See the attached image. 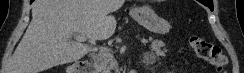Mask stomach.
Listing matches in <instances>:
<instances>
[{
  "mask_svg": "<svg viewBox=\"0 0 244 73\" xmlns=\"http://www.w3.org/2000/svg\"><path fill=\"white\" fill-rule=\"evenodd\" d=\"M131 17L148 31L155 34H166L170 31L169 21L159 16L151 7L142 6L130 11Z\"/></svg>",
  "mask_w": 244,
  "mask_h": 73,
  "instance_id": "0dacf381",
  "label": "stomach"
}]
</instances>
